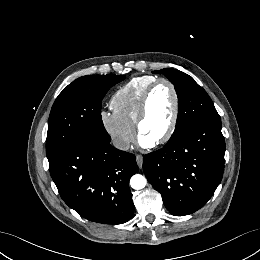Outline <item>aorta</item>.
Masks as SVG:
<instances>
[{"mask_svg": "<svg viewBox=\"0 0 260 260\" xmlns=\"http://www.w3.org/2000/svg\"><path fill=\"white\" fill-rule=\"evenodd\" d=\"M147 180L141 174H135L130 179V185L133 189L139 190L146 186Z\"/></svg>", "mask_w": 260, "mask_h": 260, "instance_id": "obj_1", "label": "aorta"}]
</instances>
